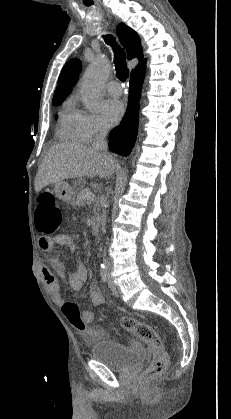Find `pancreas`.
Here are the masks:
<instances>
[{"label":"pancreas","instance_id":"obj_1","mask_svg":"<svg viewBox=\"0 0 231 419\" xmlns=\"http://www.w3.org/2000/svg\"><path fill=\"white\" fill-rule=\"evenodd\" d=\"M87 193H92L89 188L80 189L78 191L77 199H76L75 204L78 205V206H83L84 203L87 201V199L85 198V195ZM96 207H97V205L94 207V212H96Z\"/></svg>","mask_w":231,"mask_h":419}]
</instances>
